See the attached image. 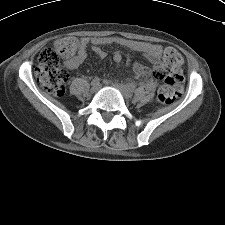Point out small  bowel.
Returning a JSON list of instances; mask_svg holds the SVG:
<instances>
[{"label": "small bowel", "instance_id": "1", "mask_svg": "<svg viewBox=\"0 0 225 225\" xmlns=\"http://www.w3.org/2000/svg\"><path fill=\"white\" fill-rule=\"evenodd\" d=\"M111 42L112 40L109 38H99V37L98 38H88V37L81 38L79 41L78 53L74 61L67 64V67L70 69H76L84 62V60L87 57V46L89 45V43L93 44L92 50L94 54L98 58L104 59L107 56V53L105 50H103L100 47V45L109 44ZM134 49L136 51L141 52L149 60L150 63L157 64L159 62L160 55H161V47L159 45L151 44V43H142V44H139L138 46H135ZM113 60L115 65L119 67L122 63L123 55L120 52H115L113 55ZM127 62L128 64L130 63L129 58H127ZM133 68H134L135 74L138 77H144L147 74L146 67L141 63H135Z\"/></svg>", "mask_w": 225, "mask_h": 225}]
</instances>
